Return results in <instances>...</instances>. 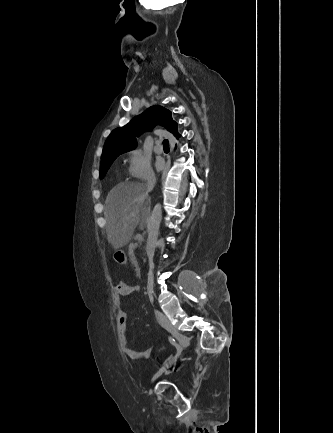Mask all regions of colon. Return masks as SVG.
Instances as JSON below:
<instances>
[{"mask_svg":"<svg viewBox=\"0 0 333 433\" xmlns=\"http://www.w3.org/2000/svg\"><path fill=\"white\" fill-rule=\"evenodd\" d=\"M115 265H123V267H128V262H126V257L128 252L126 249H115L113 252Z\"/></svg>","mask_w":333,"mask_h":433,"instance_id":"colon-1","label":"colon"}]
</instances>
